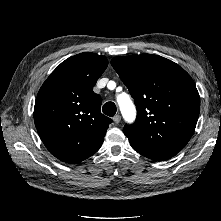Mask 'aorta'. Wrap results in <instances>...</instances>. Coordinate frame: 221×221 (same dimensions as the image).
<instances>
[{
  "label": "aorta",
  "instance_id": "762f6f07",
  "mask_svg": "<svg viewBox=\"0 0 221 221\" xmlns=\"http://www.w3.org/2000/svg\"><path fill=\"white\" fill-rule=\"evenodd\" d=\"M118 104L123 117L128 121H132L136 115V110L133 102L130 99L126 101L119 99Z\"/></svg>",
  "mask_w": 221,
  "mask_h": 221
}]
</instances>
